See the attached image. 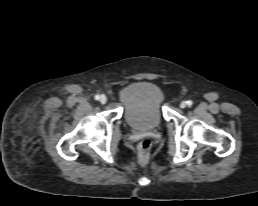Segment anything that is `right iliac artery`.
I'll use <instances>...</instances> for the list:
<instances>
[{
    "label": "right iliac artery",
    "mask_w": 258,
    "mask_h": 206,
    "mask_svg": "<svg viewBox=\"0 0 258 206\" xmlns=\"http://www.w3.org/2000/svg\"><path fill=\"white\" fill-rule=\"evenodd\" d=\"M95 100H99L100 96L99 95H95Z\"/></svg>",
    "instance_id": "obj_1"
}]
</instances>
